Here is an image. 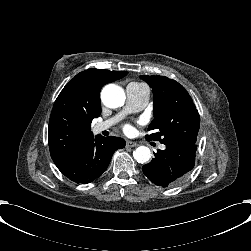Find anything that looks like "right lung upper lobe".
Instances as JSON below:
<instances>
[{
	"label": "right lung upper lobe",
	"instance_id": "right-lung-upper-lobe-1",
	"mask_svg": "<svg viewBox=\"0 0 251 251\" xmlns=\"http://www.w3.org/2000/svg\"><path fill=\"white\" fill-rule=\"evenodd\" d=\"M128 72L88 69L77 74L57 97L49 120L51 157L58 163L93 137L91 122L101 114L100 91Z\"/></svg>",
	"mask_w": 251,
	"mask_h": 251
}]
</instances>
